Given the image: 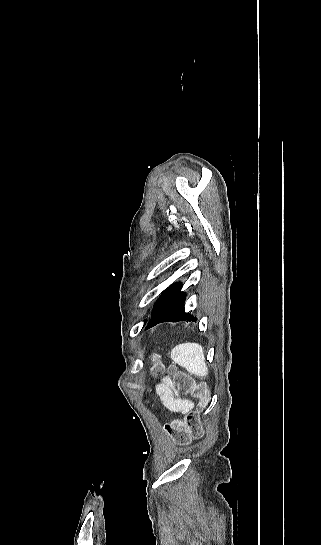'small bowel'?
Returning <instances> with one entry per match:
<instances>
[{
  "instance_id": "1",
  "label": "small bowel",
  "mask_w": 321,
  "mask_h": 545,
  "mask_svg": "<svg viewBox=\"0 0 321 545\" xmlns=\"http://www.w3.org/2000/svg\"><path fill=\"white\" fill-rule=\"evenodd\" d=\"M156 393L163 405L172 412L187 413L193 409V403L190 400L180 398L173 393L168 379L156 386Z\"/></svg>"
}]
</instances>
